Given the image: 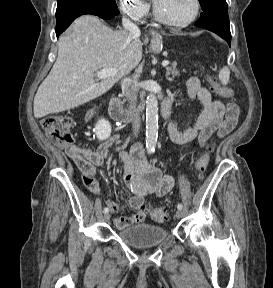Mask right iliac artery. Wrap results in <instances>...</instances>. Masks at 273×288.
<instances>
[{
    "instance_id": "obj_1",
    "label": "right iliac artery",
    "mask_w": 273,
    "mask_h": 288,
    "mask_svg": "<svg viewBox=\"0 0 273 288\" xmlns=\"http://www.w3.org/2000/svg\"><path fill=\"white\" fill-rule=\"evenodd\" d=\"M103 212H104V213H108V212H109V209H108L107 207H105L104 210H103Z\"/></svg>"
}]
</instances>
